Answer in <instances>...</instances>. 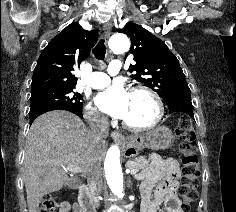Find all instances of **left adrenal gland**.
I'll return each mask as SVG.
<instances>
[{
	"mask_svg": "<svg viewBox=\"0 0 236 212\" xmlns=\"http://www.w3.org/2000/svg\"><path fill=\"white\" fill-rule=\"evenodd\" d=\"M129 184H130V185L132 184V180H131V178H129Z\"/></svg>",
	"mask_w": 236,
	"mask_h": 212,
	"instance_id": "1",
	"label": "left adrenal gland"
}]
</instances>
